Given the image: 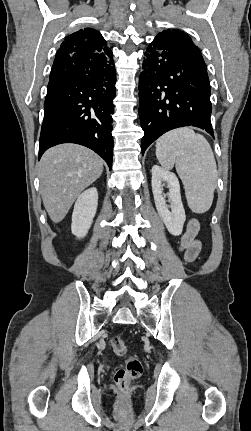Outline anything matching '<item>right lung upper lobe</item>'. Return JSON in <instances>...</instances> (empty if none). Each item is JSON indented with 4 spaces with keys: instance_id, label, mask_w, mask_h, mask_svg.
Returning a JSON list of instances; mask_svg holds the SVG:
<instances>
[{
    "instance_id": "cb5924a9",
    "label": "right lung upper lobe",
    "mask_w": 251,
    "mask_h": 431,
    "mask_svg": "<svg viewBox=\"0 0 251 431\" xmlns=\"http://www.w3.org/2000/svg\"><path fill=\"white\" fill-rule=\"evenodd\" d=\"M87 48L96 50L105 55H112L111 50L107 47L105 39L99 31L85 28L66 37L61 44L59 51L66 54H73Z\"/></svg>"
}]
</instances>
